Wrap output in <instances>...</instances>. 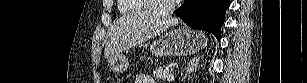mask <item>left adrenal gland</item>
Masks as SVG:
<instances>
[{
  "label": "left adrenal gland",
  "mask_w": 307,
  "mask_h": 83,
  "mask_svg": "<svg viewBox=\"0 0 307 83\" xmlns=\"http://www.w3.org/2000/svg\"><path fill=\"white\" fill-rule=\"evenodd\" d=\"M200 57H194L190 62L188 63L187 67L184 69V75L183 79H185L191 72L196 70L199 66Z\"/></svg>",
  "instance_id": "1"
}]
</instances>
